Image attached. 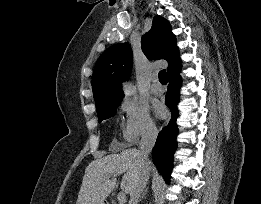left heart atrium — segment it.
Here are the masks:
<instances>
[{"instance_id": "left-heart-atrium-1", "label": "left heart atrium", "mask_w": 261, "mask_h": 204, "mask_svg": "<svg viewBox=\"0 0 261 204\" xmlns=\"http://www.w3.org/2000/svg\"><path fill=\"white\" fill-rule=\"evenodd\" d=\"M155 111H156L157 115L160 116V117H164L165 114H166L165 107L162 104H160V103H157L155 105Z\"/></svg>"}]
</instances>
